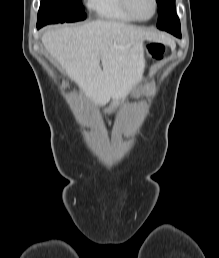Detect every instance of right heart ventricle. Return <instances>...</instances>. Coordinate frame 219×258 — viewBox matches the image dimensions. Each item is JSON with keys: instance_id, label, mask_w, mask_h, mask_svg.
I'll use <instances>...</instances> for the list:
<instances>
[{"instance_id": "e07e8e85", "label": "right heart ventricle", "mask_w": 219, "mask_h": 258, "mask_svg": "<svg viewBox=\"0 0 219 258\" xmlns=\"http://www.w3.org/2000/svg\"><path fill=\"white\" fill-rule=\"evenodd\" d=\"M88 4L101 19L123 23L135 21L124 10L121 0H88Z\"/></svg>"}]
</instances>
